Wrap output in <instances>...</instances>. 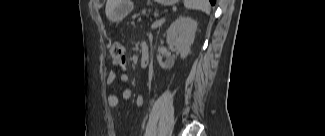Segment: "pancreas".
I'll use <instances>...</instances> for the list:
<instances>
[{
  "label": "pancreas",
  "instance_id": "cf45deb5",
  "mask_svg": "<svg viewBox=\"0 0 325 136\" xmlns=\"http://www.w3.org/2000/svg\"><path fill=\"white\" fill-rule=\"evenodd\" d=\"M154 10L151 9L150 5H142L140 12H134L133 17L136 24H152L154 23V18L146 17L153 16Z\"/></svg>",
  "mask_w": 325,
  "mask_h": 136
}]
</instances>
